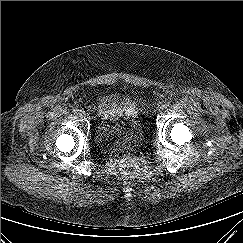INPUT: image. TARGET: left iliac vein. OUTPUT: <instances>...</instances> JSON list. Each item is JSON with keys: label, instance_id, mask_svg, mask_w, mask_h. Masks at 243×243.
Wrapping results in <instances>:
<instances>
[{"label": "left iliac vein", "instance_id": "1", "mask_svg": "<svg viewBox=\"0 0 243 243\" xmlns=\"http://www.w3.org/2000/svg\"><path fill=\"white\" fill-rule=\"evenodd\" d=\"M164 108H165V106H164V105H160V106H158V108H157V109H158L159 111H162Z\"/></svg>", "mask_w": 243, "mask_h": 243}]
</instances>
